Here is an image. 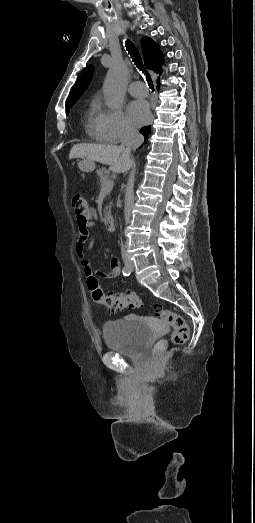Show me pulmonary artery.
I'll use <instances>...</instances> for the list:
<instances>
[{"mask_svg": "<svg viewBox=\"0 0 255 523\" xmlns=\"http://www.w3.org/2000/svg\"><path fill=\"white\" fill-rule=\"evenodd\" d=\"M149 88L147 84L141 81L133 82L129 86V92L135 97H144L148 94Z\"/></svg>", "mask_w": 255, "mask_h": 523, "instance_id": "e3ab8cb5", "label": "pulmonary artery"}]
</instances>
